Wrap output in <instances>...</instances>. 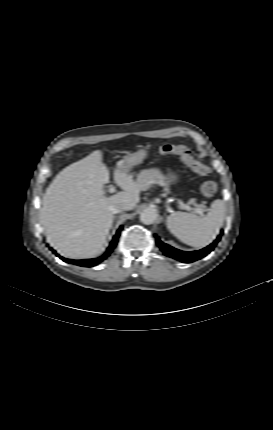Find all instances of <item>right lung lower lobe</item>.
<instances>
[{"label":"right lung lower lobe","mask_w":273,"mask_h":430,"mask_svg":"<svg viewBox=\"0 0 273 430\" xmlns=\"http://www.w3.org/2000/svg\"><path fill=\"white\" fill-rule=\"evenodd\" d=\"M122 226H120V228L117 230L116 235L113 237L112 242L110 243L109 247L107 248L106 252L104 253V255H102L99 258H95V259H85V260H72V259H66L63 258L59 255H57L60 259H62L63 261L67 262V263H73L79 266H83V267H92L95 266L97 264H99L100 262H102L103 260H105L113 251V249L115 248L117 242H118V238L120 236V232L122 230Z\"/></svg>","instance_id":"1"}]
</instances>
